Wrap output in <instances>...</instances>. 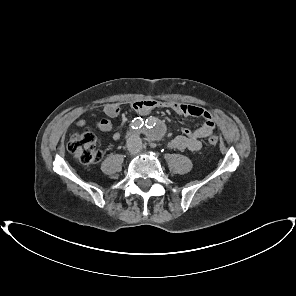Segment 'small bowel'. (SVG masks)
Listing matches in <instances>:
<instances>
[{
	"instance_id": "obj_1",
	"label": "small bowel",
	"mask_w": 296,
	"mask_h": 296,
	"mask_svg": "<svg viewBox=\"0 0 296 296\" xmlns=\"http://www.w3.org/2000/svg\"><path fill=\"white\" fill-rule=\"evenodd\" d=\"M132 108L141 116L147 115L157 108H168L179 115L200 116L204 119L203 124L197 129L185 128L181 135L172 138L168 142V147L171 149L199 151L202 147V139L211 135L215 129L213 115L208 110L195 105L174 101L139 100L132 104ZM103 111L108 118H116L120 115V107L115 103L106 104ZM84 124V121H79L78 123L80 126ZM96 126L103 132L114 131V126L109 119L97 121Z\"/></svg>"
}]
</instances>
